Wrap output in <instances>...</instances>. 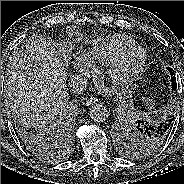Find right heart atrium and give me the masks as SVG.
I'll list each match as a JSON object with an SVG mask.
<instances>
[{
    "label": "right heart atrium",
    "instance_id": "d8ad5b80",
    "mask_svg": "<svg viewBox=\"0 0 184 184\" xmlns=\"http://www.w3.org/2000/svg\"><path fill=\"white\" fill-rule=\"evenodd\" d=\"M75 58V64L81 71L90 72L93 69V63L86 57L84 53L79 52Z\"/></svg>",
    "mask_w": 184,
    "mask_h": 184
}]
</instances>
